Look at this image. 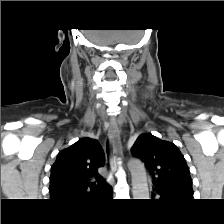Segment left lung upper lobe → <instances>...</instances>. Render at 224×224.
<instances>
[{
	"label": "left lung upper lobe",
	"instance_id": "5c2ea615",
	"mask_svg": "<svg viewBox=\"0 0 224 224\" xmlns=\"http://www.w3.org/2000/svg\"><path fill=\"white\" fill-rule=\"evenodd\" d=\"M132 154L145 163L158 191L193 198L190 171L176 145L152 134H141L132 147Z\"/></svg>",
	"mask_w": 224,
	"mask_h": 224
}]
</instances>
